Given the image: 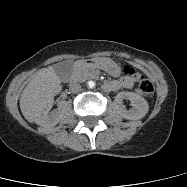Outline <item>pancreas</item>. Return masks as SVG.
Masks as SVG:
<instances>
[{
    "instance_id": "obj_1",
    "label": "pancreas",
    "mask_w": 187,
    "mask_h": 187,
    "mask_svg": "<svg viewBox=\"0 0 187 187\" xmlns=\"http://www.w3.org/2000/svg\"><path fill=\"white\" fill-rule=\"evenodd\" d=\"M74 77L77 81L83 82L88 79L97 78V71L93 67L85 65L81 68L76 69V71L74 72Z\"/></svg>"
}]
</instances>
